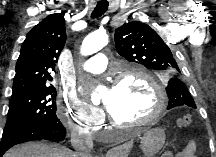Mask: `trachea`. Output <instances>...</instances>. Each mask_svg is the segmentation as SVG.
<instances>
[{"label": "trachea", "instance_id": "trachea-1", "mask_svg": "<svg viewBox=\"0 0 216 157\" xmlns=\"http://www.w3.org/2000/svg\"><path fill=\"white\" fill-rule=\"evenodd\" d=\"M108 6H109L108 1L103 0V1L97 2V5H96L94 11L92 12L91 17L92 18L100 17L101 15H103L107 11Z\"/></svg>", "mask_w": 216, "mask_h": 157}]
</instances>
